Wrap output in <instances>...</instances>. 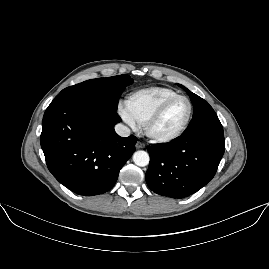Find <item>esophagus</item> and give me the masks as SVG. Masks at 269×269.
<instances>
[{
	"instance_id": "34e87169",
	"label": "esophagus",
	"mask_w": 269,
	"mask_h": 269,
	"mask_svg": "<svg viewBox=\"0 0 269 269\" xmlns=\"http://www.w3.org/2000/svg\"><path fill=\"white\" fill-rule=\"evenodd\" d=\"M135 146H136L137 149H144V148H146L145 143H143L141 141H138Z\"/></svg>"
}]
</instances>
